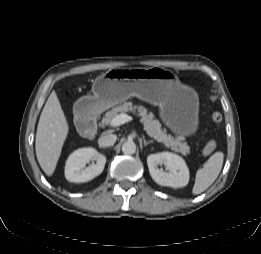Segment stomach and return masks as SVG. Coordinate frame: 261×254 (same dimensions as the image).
<instances>
[{
	"mask_svg": "<svg viewBox=\"0 0 261 254\" xmlns=\"http://www.w3.org/2000/svg\"><path fill=\"white\" fill-rule=\"evenodd\" d=\"M93 95L81 99L87 112L96 114L130 97L160 109L162 121L180 137L194 134L199 125L197 93L163 68L110 69L98 76Z\"/></svg>",
	"mask_w": 261,
	"mask_h": 254,
	"instance_id": "0dacf381",
	"label": "stomach"
}]
</instances>
